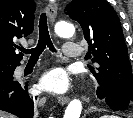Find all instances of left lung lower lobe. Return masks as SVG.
<instances>
[{"label":"left lung lower lobe","instance_id":"left-lung-lower-lobe-1","mask_svg":"<svg viewBox=\"0 0 133 118\" xmlns=\"http://www.w3.org/2000/svg\"><path fill=\"white\" fill-rule=\"evenodd\" d=\"M113 110H122L133 106V102L120 92L107 91L102 98Z\"/></svg>","mask_w":133,"mask_h":118}]
</instances>
